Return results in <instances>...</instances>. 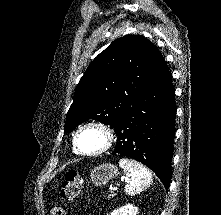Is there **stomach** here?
I'll return each mask as SVG.
<instances>
[{"label":"stomach","mask_w":221,"mask_h":215,"mask_svg":"<svg viewBox=\"0 0 221 215\" xmlns=\"http://www.w3.org/2000/svg\"><path fill=\"white\" fill-rule=\"evenodd\" d=\"M118 173L115 165L107 163L95 167L90 174L91 181L95 186L105 185L109 180L114 178Z\"/></svg>","instance_id":"obj_1"}]
</instances>
